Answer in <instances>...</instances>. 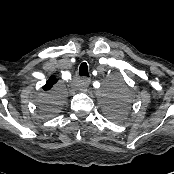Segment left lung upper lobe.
<instances>
[{"mask_svg": "<svg viewBox=\"0 0 174 174\" xmlns=\"http://www.w3.org/2000/svg\"><path fill=\"white\" fill-rule=\"evenodd\" d=\"M109 116L114 120H120L123 114L122 108H111L109 110Z\"/></svg>", "mask_w": 174, "mask_h": 174, "instance_id": "left-lung-upper-lobe-1", "label": "left lung upper lobe"}]
</instances>
